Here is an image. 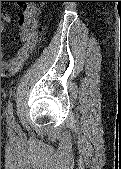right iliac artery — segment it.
<instances>
[{"mask_svg": "<svg viewBox=\"0 0 121 169\" xmlns=\"http://www.w3.org/2000/svg\"><path fill=\"white\" fill-rule=\"evenodd\" d=\"M7 112H8V122L10 124V126H12L14 124V119H13V112H12V104L10 103L8 105V109H7Z\"/></svg>", "mask_w": 121, "mask_h": 169, "instance_id": "1", "label": "right iliac artery"}]
</instances>
